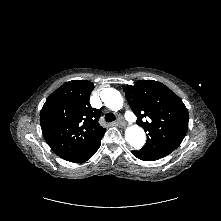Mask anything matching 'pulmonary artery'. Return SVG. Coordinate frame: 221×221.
<instances>
[{"label": "pulmonary artery", "instance_id": "obj_1", "mask_svg": "<svg viewBox=\"0 0 221 221\" xmlns=\"http://www.w3.org/2000/svg\"><path fill=\"white\" fill-rule=\"evenodd\" d=\"M125 118L129 121V122H136L138 120V118L136 117V115L134 113H132L129 110H126L125 113Z\"/></svg>", "mask_w": 221, "mask_h": 221}]
</instances>
